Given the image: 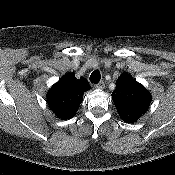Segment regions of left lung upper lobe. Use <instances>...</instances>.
<instances>
[{
	"label": "left lung upper lobe",
	"instance_id": "obj_1",
	"mask_svg": "<svg viewBox=\"0 0 175 175\" xmlns=\"http://www.w3.org/2000/svg\"><path fill=\"white\" fill-rule=\"evenodd\" d=\"M112 99L120 117L127 123H134L149 108L151 95L130 74L123 73L116 81Z\"/></svg>",
	"mask_w": 175,
	"mask_h": 175
}]
</instances>
